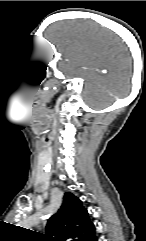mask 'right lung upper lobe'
<instances>
[{
  "instance_id": "cb5924a9",
  "label": "right lung upper lobe",
  "mask_w": 146,
  "mask_h": 241,
  "mask_svg": "<svg viewBox=\"0 0 146 241\" xmlns=\"http://www.w3.org/2000/svg\"><path fill=\"white\" fill-rule=\"evenodd\" d=\"M48 241H96L95 226L87 210L72 193L66 192L63 203L47 222Z\"/></svg>"
}]
</instances>
